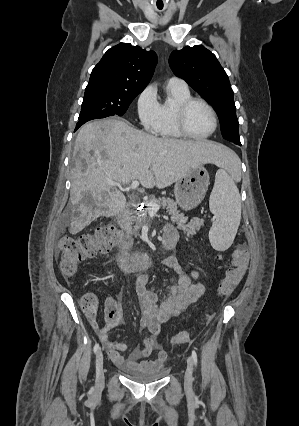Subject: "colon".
I'll list each match as a JSON object with an SVG mask.
<instances>
[{"label": "colon", "mask_w": 299, "mask_h": 426, "mask_svg": "<svg viewBox=\"0 0 299 426\" xmlns=\"http://www.w3.org/2000/svg\"><path fill=\"white\" fill-rule=\"evenodd\" d=\"M121 240V234L111 224L98 227L91 234H84L78 238L63 237L59 241L61 254V270L64 275L73 276L79 266L89 258L97 254L110 252ZM248 249L246 245L237 246L232 253V266L229 267L224 278L219 284V293L222 296H229L233 293L244 277L248 265ZM83 310L89 316H94L98 308V299L88 293L81 300ZM191 336L187 331L175 334L171 343L180 345L189 343Z\"/></svg>", "instance_id": "colon-1"}]
</instances>
